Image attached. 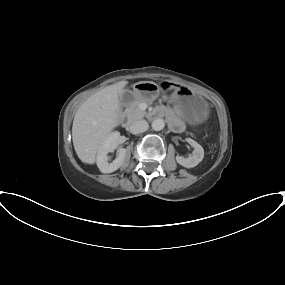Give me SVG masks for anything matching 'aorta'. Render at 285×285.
I'll return each instance as SVG.
<instances>
[{
	"label": "aorta",
	"instance_id": "aorta-1",
	"mask_svg": "<svg viewBox=\"0 0 285 285\" xmlns=\"http://www.w3.org/2000/svg\"><path fill=\"white\" fill-rule=\"evenodd\" d=\"M165 127V122L163 119H156L152 122V129L155 131H161Z\"/></svg>",
	"mask_w": 285,
	"mask_h": 285
}]
</instances>
